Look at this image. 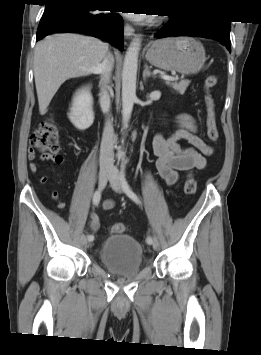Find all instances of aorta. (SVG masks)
Listing matches in <instances>:
<instances>
[{"instance_id": "1", "label": "aorta", "mask_w": 261, "mask_h": 355, "mask_svg": "<svg viewBox=\"0 0 261 355\" xmlns=\"http://www.w3.org/2000/svg\"><path fill=\"white\" fill-rule=\"evenodd\" d=\"M141 38L137 36L129 45L122 70V122L127 128L136 99V79Z\"/></svg>"}]
</instances>
